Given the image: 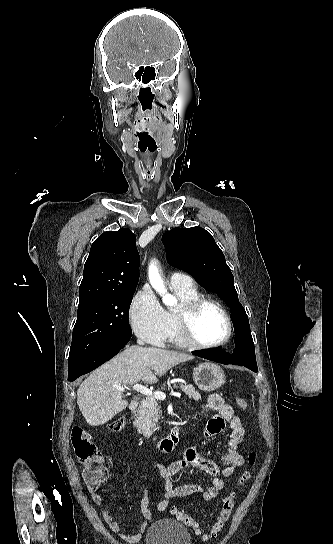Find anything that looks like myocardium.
I'll return each instance as SVG.
<instances>
[{"instance_id":"myocardium-1","label":"myocardium","mask_w":333,"mask_h":544,"mask_svg":"<svg viewBox=\"0 0 333 544\" xmlns=\"http://www.w3.org/2000/svg\"><path fill=\"white\" fill-rule=\"evenodd\" d=\"M208 304L215 305L223 313L227 323L225 338L215 343H201L194 333V323L200 310ZM178 332L184 343L196 349H213L227 344L233 335V321L226 306L218 299L208 296H199L195 299L183 302L175 311Z\"/></svg>"}]
</instances>
